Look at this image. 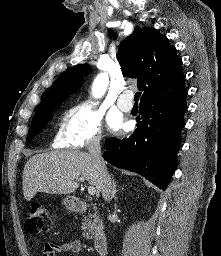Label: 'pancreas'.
I'll use <instances>...</instances> for the list:
<instances>
[{
	"instance_id": "1",
	"label": "pancreas",
	"mask_w": 221,
	"mask_h": 256,
	"mask_svg": "<svg viewBox=\"0 0 221 256\" xmlns=\"http://www.w3.org/2000/svg\"><path fill=\"white\" fill-rule=\"evenodd\" d=\"M97 213V212H96ZM102 226V220L98 215L86 216L82 222L83 235L88 237L97 227Z\"/></svg>"
}]
</instances>
